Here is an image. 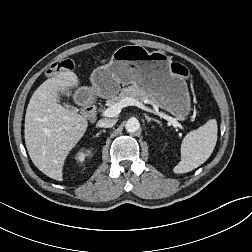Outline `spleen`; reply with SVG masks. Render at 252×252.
<instances>
[{"label": "spleen", "instance_id": "3e777b00", "mask_svg": "<svg viewBox=\"0 0 252 252\" xmlns=\"http://www.w3.org/2000/svg\"><path fill=\"white\" fill-rule=\"evenodd\" d=\"M217 130V121L211 119L197 130L189 132L182 141L181 160L174 167V173H187L202 165L215 148Z\"/></svg>", "mask_w": 252, "mask_h": 252}]
</instances>
